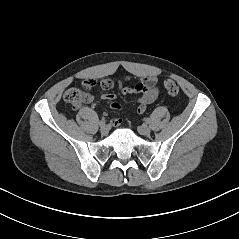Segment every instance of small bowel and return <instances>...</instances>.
I'll use <instances>...</instances> for the list:
<instances>
[{
    "label": "small bowel",
    "mask_w": 239,
    "mask_h": 239,
    "mask_svg": "<svg viewBox=\"0 0 239 239\" xmlns=\"http://www.w3.org/2000/svg\"><path fill=\"white\" fill-rule=\"evenodd\" d=\"M89 81H92L95 86L96 81L94 79L85 80L83 82V85H86ZM131 81H132L131 76L123 77L120 83L118 84H116L111 79H102L100 81V86L104 90H111L117 86L123 95H126V96L132 95V94L138 95V97L136 98V102L138 104L136 108V113L138 115H141L146 111L147 106L153 103L159 95V86L157 83V78L154 76H147L142 81L135 84L134 86L132 87L127 86L126 84ZM101 98L107 102H110V107L112 110L116 112H120V113L123 112L121 105L114 101L115 95L113 93H110V92L103 93L101 95ZM88 102L91 103L92 105H95L93 98L91 96H89ZM121 123H122V120L120 118H114L112 120V124L115 127L119 126Z\"/></svg>",
    "instance_id": "obj_1"
}]
</instances>
